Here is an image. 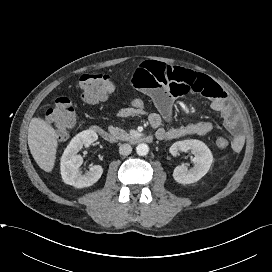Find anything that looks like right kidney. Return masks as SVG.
Instances as JSON below:
<instances>
[{
    "instance_id": "obj_1",
    "label": "right kidney",
    "mask_w": 272,
    "mask_h": 272,
    "mask_svg": "<svg viewBox=\"0 0 272 272\" xmlns=\"http://www.w3.org/2000/svg\"><path fill=\"white\" fill-rule=\"evenodd\" d=\"M98 139L92 130H85L77 134L68 144L61 157L60 171L62 179L66 184L76 188L89 187L95 184L103 173L100 165H94L88 172L82 174L79 171L83 158L77 153L83 146H90Z\"/></svg>"
}]
</instances>
